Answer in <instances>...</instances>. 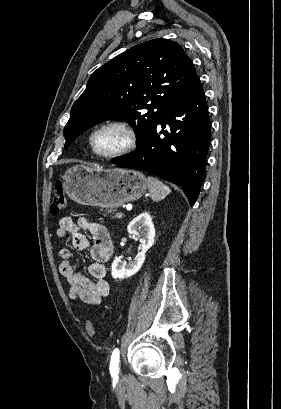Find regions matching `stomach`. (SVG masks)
I'll return each instance as SVG.
<instances>
[{
  "instance_id": "obj_1",
  "label": "stomach",
  "mask_w": 281,
  "mask_h": 409,
  "mask_svg": "<svg viewBox=\"0 0 281 409\" xmlns=\"http://www.w3.org/2000/svg\"><path fill=\"white\" fill-rule=\"evenodd\" d=\"M61 184L79 205L116 209L140 198L147 190L148 180L139 170L75 164L67 168Z\"/></svg>"
}]
</instances>
